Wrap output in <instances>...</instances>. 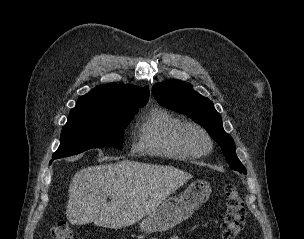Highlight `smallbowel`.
<instances>
[{
    "label": "small bowel",
    "instance_id": "c3829d8e",
    "mask_svg": "<svg viewBox=\"0 0 304 239\" xmlns=\"http://www.w3.org/2000/svg\"><path fill=\"white\" fill-rule=\"evenodd\" d=\"M170 239H181V238L178 237V236H173V237H171Z\"/></svg>",
    "mask_w": 304,
    "mask_h": 239
}]
</instances>
